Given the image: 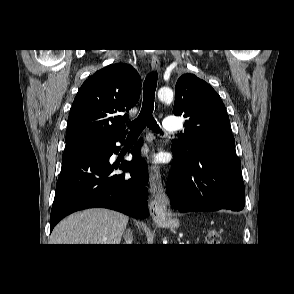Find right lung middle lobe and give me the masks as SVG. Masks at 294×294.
Instances as JSON below:
<instances>
[{
	"label": "right lung middle lobe",
	"instance_id": "dd1d6c3e",
	"mask_svg": "<svg viewBox=\"0 0 294 294\" xmlns=\"http://www.w3.org/2000/svg\"><path fill=\"white\" fill-rule=\"evenodd\" d=\"M101 143L100 141H78V142H73L70 144H67L65 147V151L73 150V149H78V148H83V147H89V146H94Z\"/></svg>",
	"mask_w": 294,
	"mask_h": 294
}]
</instances>
